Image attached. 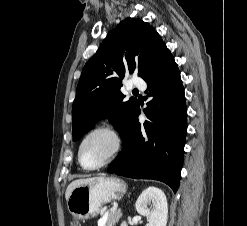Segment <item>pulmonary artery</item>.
<instances>
[{
    "instance_id": "obj_1",
    "label": "pulmonary artery",
    "mask_w": 247,
    "mask_h": 226,
    "mask_svg": "<svg viewBox=\"0 0 247 226\" xmlns=\"http://www.w3.org/2000/svg\"><path fill=\"white\" fill-rule=\"evenodd\" d=\"M145 87H146L145 82L139 78H134L130 83V88H136V89L143 90L145 89Z\"/></svg>"
}]
</instances>
